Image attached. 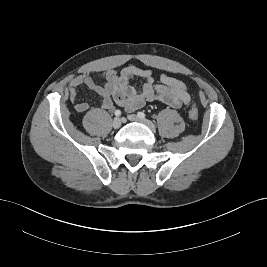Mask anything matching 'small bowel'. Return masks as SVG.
Returning <instances> with one entry per match:
<instances>
[{"label": "small bowel", "mask_w": 267, "mask_h": 267, "mask_svg": "<svg viewBox=\"0 0 267 267\" xmlns=\"http://www.w3.org/2000/svg\"><path fill=\"white\" fill-rule=\"evenodd\" d=\"M100 78L103 84H97L89 74L78 75L70 81V101L74 103L78 113L89 110L87 103L77 102L78 89L83 85L99 95L100 107L104 110H112L118 105L131 112L152 101H159L173 108H180L190 103V95L184 82L167 74H161L157 82L151 69L129 65L120 72L109 69L101 74ZM134 78L144 80L142 87L135 88L130 84Z\"/></svg>", "instance_id": "small-bowel-1"}]
</instances>
